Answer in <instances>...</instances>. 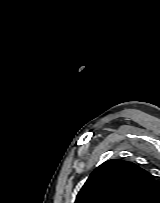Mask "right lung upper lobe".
Returning <instances> with one entry per match:
<instances>
[{"label":"right lung upper lobe","mask_w":160,"mask_h":203,"mask_svg":"<svg viewBox=\"0 0 160 203\" xmlns=\"http://www.w3.org/2000/svg\"><path fill=\"white\" fill-rule=\"evenodd\" d=\"M159 194L149 172L133 162L111 159L91 173L75 203H153Z\"/></svg>","instance_id":"right-lung-upper-lobe-1"}]
</instances>
